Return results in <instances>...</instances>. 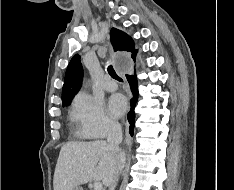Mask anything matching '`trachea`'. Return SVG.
Segmentation results:
<instances>
[{
  "label": "trachea",
  "mask_w": 234,
  "mask_h": 190,
  "mask_svg": "<svg viewBox=\"0 0 234 190\" xmlns=\"http://www.w3.org/2000/svg\"><path fill=\"white\" fill-rule=\"evenodd\" d=\"M108 73H109V75H110L112 78H114V79H116V80H119V81L122 80V79L117 75V73L115 72L114 68H113L111 65L108 66Z\"/></svg>",
  "instance_id": "3493384b"
}]
</instances>
